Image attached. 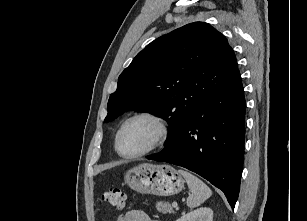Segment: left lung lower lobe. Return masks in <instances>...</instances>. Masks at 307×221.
I'll use <instances>...</instances> for the list:
<instances>
[{
    "label": "left lung lower lobe",
    "mask_w": 307,
    "mask_h": 221,
    "mask_svg": "<svg viewBox=\"0 0 307 221\" xmlns=\"http://www.w3.org/2000/svg\"><path fill=\"white\" fill-rule=\"evenodd\" d=\"M246 102L238 68L149 160L187 168L221 189L234 208L244 161Z\"/></svg>",
    "instance_id": "0a47b994"
}]
</instances>
